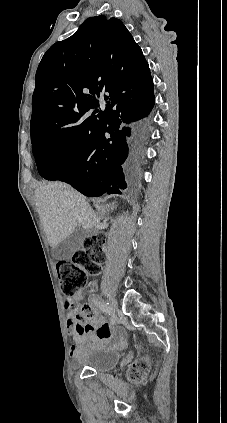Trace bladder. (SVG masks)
Wrapping results in <instances>:
<instances>
[{"mask_svg":"<svg viewBox=\"0 0 227 423\" xmlns=\"http://www.w3.org/2000/svg\"><path fill=\"white\" fill-rule=\"evenodd\" d=\"M78 362L97 373L107 374L113 372L120 364L121 354L115 349L96 351L79 359Z\"/></svg>","mask_w":227,"mask_h":423,"instance_id":"31cf9c89","label":"bladder"}]
</instances>
